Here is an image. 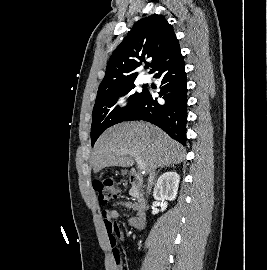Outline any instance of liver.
Returning a JSON list of instances; mask_svg holds the SVG:
<instances>
[{
	"label": "liver",
	"mask_w": 267,
	"mask_h": 270,
	"mask_svg": "<svg viewBox=\"0 0 267 270\" xmlns=\"http://www.w3.org/2000/svg\"><path fill=\"white\" fill-rule=\"evenodd\" d=\"M135 156L145 163V170L179 164L184 147L160 128L146 122H123L106 130L97 140L92 167L98 173L108 166L131 167Z\"/></svg>",
	"instance_id": "1"
}]
</instances>
